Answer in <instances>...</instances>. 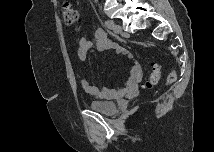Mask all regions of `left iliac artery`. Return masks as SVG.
Here are the masks:
<instances>
[{
  "label": "left iliac artery",
  "mask_w": 215,
  "mask_h": 152,
  "mask_svg": "<svg viewBox=\"0 0 215 152\" xmlns=\"http://www.w3.org/2000/svg\"><path fill=\"white\" fill-rule=\"evenodd\" d=\"M113 25V22H111L110 20H106L104 21V26L108 29H111Z\"/></svg>",
  "instance_id": "left-iliac-artery-1"
}]
</instances>
